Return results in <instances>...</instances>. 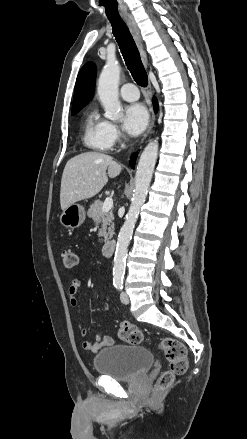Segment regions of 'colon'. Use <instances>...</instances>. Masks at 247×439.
Wrapping results in <instances>:
<instances>
[{"instance_id": "1", "label": "colon", "mask_w": 247, "mask_h": 439, "mask_svg": "<svg viewBox=\"0 0 247 439\" xmlns=\"http://www.w3.org/2000/svg\"><path fill=\"white\" fill-rule=\"evenodd\" d=\"M63 263L65 267H75L78 263L77 255L71 250L64 251ZM118 336L132 345H139L144 341L142 331L135 325L126 322L120 325ZM159 348L164 352L168 361V370L160 376L158 385L159 387H166L173 382L175 376L186 372L188 366L187 351L182 342L172 338L163 339L159 344Z\"/></svg>"}]
</instances>
